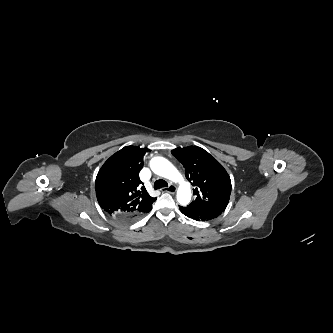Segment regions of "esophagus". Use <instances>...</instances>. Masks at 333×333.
I'll return each mask as SVG.
<instances>
[{"instance_id": "1", "label": "esophagus", "mask_w": 333, "mask_h": 333, "mask_svg": "<svg viewBox=\"0 0 333 333\" xmlns=\"http://www.w3.org/2000/svg\"><path fill=\"white\" fill-rule=\"evenodd\" d=\"M166 192L175 193L177 191V187L175 185H169L167 188L164 189Z\"/></svg>"}]
</instances>
